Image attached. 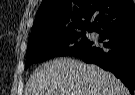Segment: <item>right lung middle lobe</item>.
Returning a JSON list of instances; mask_svg holds the SVG:
<instances>
[{
  "label": "right lung middle lobe",
  "mask_w": 135,
  "mask_h": 95,
  "mask_svg": "<svg viewBox=\"0 0 135 95\" xmlns=\"http://www.w3.org/2000/svg\"><path fill=\"white\" fill-rule=\"evenodd\" d=\"M92 32L93 30H87ZM91 40L86 37V29L54 33L43 32L30 36L26 52L27 68L30 64L42 62L58 56H72L75 52L89 45Z\"/></svg>",
  "instance_id": "1"
}]
</instances>
